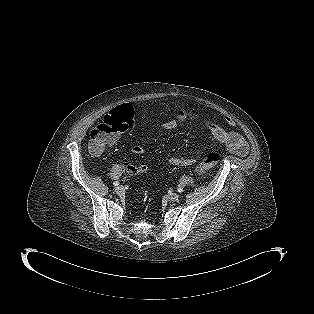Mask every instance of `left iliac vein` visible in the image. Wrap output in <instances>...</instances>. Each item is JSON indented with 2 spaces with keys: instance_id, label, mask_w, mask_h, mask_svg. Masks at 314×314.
Segmentation results:
<instances>
[{
  "instance_id": "obj_1",
  "label": "left iliac vein",
  "mask_w": 314,
  "mask_h": 314,
  "mask_svg": "<svg viewBox=\"0 0 314 314\" xmlns=\"http://www.w3.org/2000/svg\"><path fill=\"white\" fill-rule=\"evenodd\" d=\"M167 199L170 201H176L179 199V194L178 193H170L167 195Z\"/></svg>"
}]
</instances>
